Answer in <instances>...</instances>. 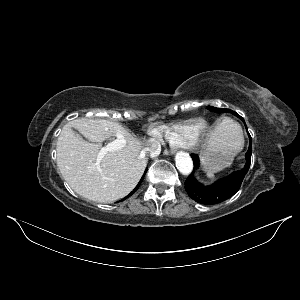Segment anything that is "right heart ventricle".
I'll return each instance as SVG.
<instances>
[{
  "label": "right heart ventricle",
  "mask_w": 300,
  "mask_h": 300,
  "mask_svg": "<svg viewBox=\"0 0 300 300\" xmlns=\"http://www.w3.org/2000/svg\"><path fill=\"white\" fill-rule=\"evenodd\" d=\"M208 128L204 121L191 120L185 123L161 127V132L169 142L181 148H191L198 144Z\"/></svg>",
  "instance_id": "right-heart-ventricle-1"
}]
</instances>
